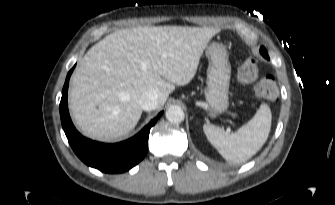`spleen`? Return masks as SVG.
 I'll use <instances>...</instances> for the list:
<instances>
[{"label": "spleen", "instance_id": "3e777b00", "mask_svg": "<svg viewBox=\"0 0 335 205\" xmlns=\"http://www.w3.org/2000/svg\"><path fill=\"white\" fill-rule=\"evenodd\" d=\"M272 115L267 104H261L254 117L233 134L223 128L205 124L203 131L209 142L227 161L245 162L266 142L271 129Z\"/></svg>", "mask_w": 335, "mask_h": 205}]
</instances>
